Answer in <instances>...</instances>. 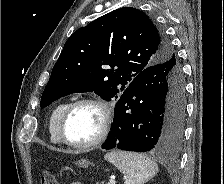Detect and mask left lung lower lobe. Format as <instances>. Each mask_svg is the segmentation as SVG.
I'll list each match as a JSON object with an SVG mask.
<instances>
[{
	"mask_svg": "<svg viewBox=\"0 0 224 184\" xmlns=\"http://www.w3.org/2000/svg\"><path fill=\"white\" fill-rule=\"evenodd\" d=\"M185 81L176 60L145 68L123 91L103 149L170 153L181 144Z\"/></svg>",
	"mask_w": 224,
	"mask_h": 184,
	"instance_id": "1",
	"label": "left lung lower lobe"
}]
</instances>
